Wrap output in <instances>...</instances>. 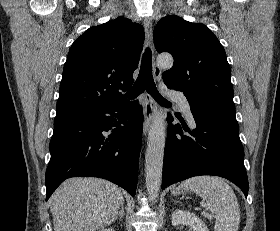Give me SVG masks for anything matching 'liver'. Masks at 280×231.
Instances as JSON below:
<instances>
[{"label": "liver", "instance_id": "obj_1", "mask_svg": "<svg viewBox=\"0 0 280 231\" xmlns=\"http://www.w3.org/2000/svg\"><path fill=\"white\" fill-rule=\"evenodd\" d=\"M121 189L98 177H70L49 199L54 231H96L112 223L123 203Z\"/></svg>", "mask_w": 280, "mask_h": 231}]
</instances>
